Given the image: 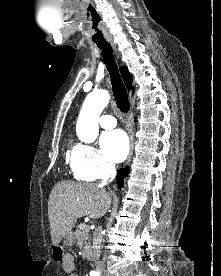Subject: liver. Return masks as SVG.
I'll list each match as a JSON object with an SVG mask.
<instances>
[{"mask_svg": "<svg viewBox=\"0 0 221 276\" xmlns=\"http://www.w3.org/2000/svg\"><path fill=\"white\" fill-rule=\"evenodd\" d=\"M112 194L93 183L60 182L52 189L48 201L50 233L58 244L70 233L78 218L102 217L110 208Z\"/></svg>", "mask_w": 221, "mask_h": 276, "instance_id": "1", "label": "liver"}]
</instances>
